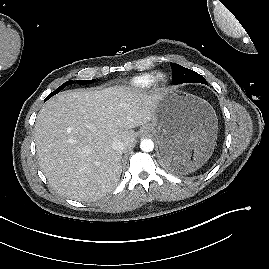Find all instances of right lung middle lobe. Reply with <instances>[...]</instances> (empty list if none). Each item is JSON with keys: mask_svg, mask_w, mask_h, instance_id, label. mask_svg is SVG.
Segmentation results:
<instances>
[{"mask_svg": "<svg viewBox=\"0 0 269 269\" xmlns=\"http://www.w3.org/2000/svg\"><path fill=\"white\" fill-rule=\"evenodd\" d=\"M94 82V80H78L77 83L80 85H86ZM73 81H67L64 84H62L60 87H58L55 91H53L50 95L47 96L45 101H47L49 98H51L53 95L59 93L63 88H65L67 85L72 84Z\"/></svg>", "mask_w": 269, "mask_h": 269, "instance_id": "1", "label": "right lung middle lobe"}]
</instances>
